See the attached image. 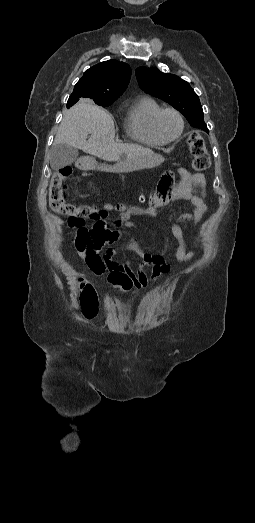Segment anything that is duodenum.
<instances>
[{
    "label": "duodenum",
    "mask_w": 255,
    "mask_h": 523,
    "mask_svg": "<svg viewBox=\"0 0 255 523\" xmlns=\"http://www.w3.org/2000/svg\"><path fill=\"white\" fill-rule=\"evenodd\" d=\"M95 165V159L92 156H84L79 159L78 161V167L81 170L89 171L94 168Z\"/></svg>",
    "instance_id": "duodenum-1"
}]
</instances>
